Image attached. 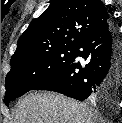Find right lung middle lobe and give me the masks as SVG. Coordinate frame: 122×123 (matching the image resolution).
I'll use <instances>...</instances> for the list:
<instances>
[{
  "mask_svg": "<svg viewBox=\"0 0 122 123\" xmlns=\"http://www.w3.org/2000/svg\"><path fill=\"white\" fill-rule=\"evenodd\" d=\"M77 49H64L30 56L11 64L6 76V94L4 103L16 99L33 90L42 82L53 77L75 58Z\"/></svg>",
  "mask_w": 122,
  "mask_h": 123,
  "instance_id": "obj_1",
  "label": "right lung middle lobe"
}]
</instances>
